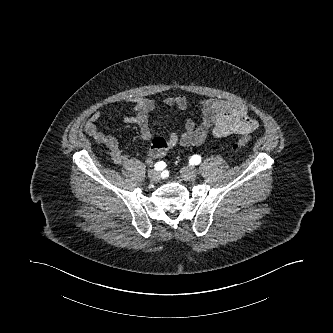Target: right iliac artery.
I'll use <instances>...</instances> for the list:
<instances>
[{"label":"right iliac artery","mask_w":333,"mask_h":333,"mask_svg":"<svg viewBox=\"0 0 333 333\" xmlns=\"http://www.w3.org/2000/svg\"><path fill=\"white\" fill-rule=\"evenodd\" d=\"M163 167H164L163 162H159V163L155 164V168H156L157 170H161V169H163Z\"/></svg>","instance_id":"obj_1"}]
</instances>
